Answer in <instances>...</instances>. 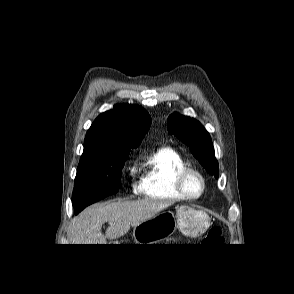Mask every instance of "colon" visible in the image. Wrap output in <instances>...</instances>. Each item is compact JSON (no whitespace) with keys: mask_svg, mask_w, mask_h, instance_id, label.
Segmentation results:
<instances>
[{"mask_svg":"<svg viewBox=\"0 0 294 294\" xmlns=\"http://www.w3.org/2000/svg\"><path fill=\"white\" fill-rule=\"evenodd\" d=\"M204 244H221L223 243L222 232L220 228L213 227L211 228L203 239Z\"/></svg>","mask_w":294,"mask_h":294,"instance_id":"5ec220e1","label":"colon"}]
</instances>
